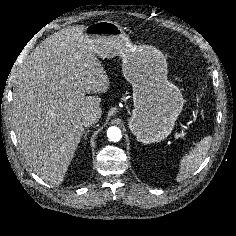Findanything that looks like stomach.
<instances>
[{
	"instance_id": "obj_1",
	"label": "stomach",
	"mask_w": 236,
	"mask_h": 236,
	"mask_svg": "<svg viewBox=\"0 0 236 236\" xmlns=\"http://www.w3.org/2000/svg\"><path fill=\"white\" fill-rule=\"evenodd\" d=\"M85 37L101 58H122V72L133 87L134 109L128 127L137 140L160 142L172 132L184 99L167 78L164 55L149 45L133 44L116 22L102 20L85 28Z\"/></svg>"
}]
</instances>
